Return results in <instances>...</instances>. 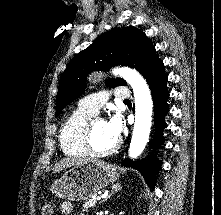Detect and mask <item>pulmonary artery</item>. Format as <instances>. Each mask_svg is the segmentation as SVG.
<instances>
[{
    "mask_svg": "<svg viewBox=\"0 0 221 215\" xmlns=\"http://www.w3.org/2000/svg\"><path fill=\"white\" fill-rule=\"evenodd\" d=\"M114 96L119 99H128L130 96L129 91L125 87H118L113 92ZM108 92L101 91L98 93H93L91 95L86 96L83 98L80 103L79 107L93 113L97 114L100 108L105 104L108 99Z\"/></svg>",
    "mask_w": 221,
    "mask_h": 215,
    "instance_id": "1",
    "label": "pulmonary artery"
}]
</instances>
